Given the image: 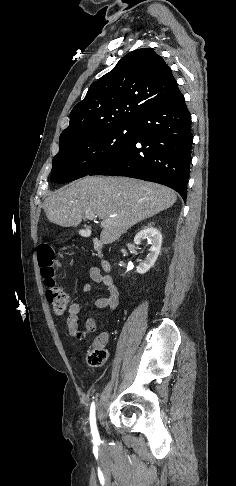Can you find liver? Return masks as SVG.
<instances>
[{
	"mask_svg": "<svg viewBox=\"0 0 236 486\" xmlns=\"http://www.w3.org/2000/svg\"><path fill=\"white\" fill-rule=\"evenodd\" d=\"M177 196L171 189L126 177L87 176L46 198L43 208L52 223L77 226L86 211L103 223L100 239L116 241L133 225L171 207Z\"/></svg>",
	"mask_w": 236,
	"mask_h": 486,
	"instance_id": "obj_1",
	"label": "liver"
}]
</instances>
